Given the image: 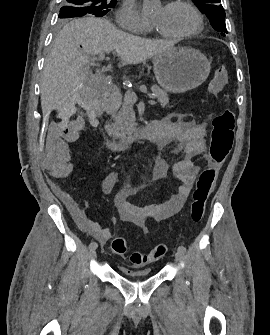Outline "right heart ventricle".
<instances>
[{"label": "right heart ventricle", "instance_id": "1", "mask_svg": "<svg viewBox=\"0 0 270 335\" xmlns=\"http://www.w3.org/2000/svg\"><path fill=\"white\" fill-rule=\"evenodd\" d=\"M159 78H172V77H159Z\"/></svg>", "mask_w": 270, "mask_h": 335}]
</instances>
